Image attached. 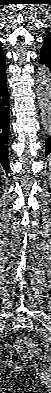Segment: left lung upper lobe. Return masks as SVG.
Listing matches in <instances>:
<instances>
[{
    "label": "left lung upper lobe",
    "instance_id": "5c2ea615",
    "mask_svg": "<svg viewBox=\"0 0 51 393\" xmlns=\"http://www.w3.org/2000/svg\"><path fill=\"white\" fill-rule=\"evenodd\" d=\"M41 52H44L51 56V33L47 34L43 40V46Z\"/></svg>",
    "mask_w": 51,
    "mask_h": 393
}]
</instances>
